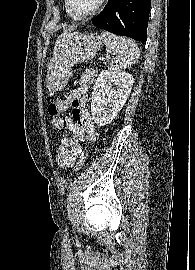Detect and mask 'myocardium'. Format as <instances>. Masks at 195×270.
<instances>
[{
    "label": "myocardium",
    "mask_w": 195,
    "mask_h": 270,
    "mask_svg": "<svg viewBox=\"0 0 195 270\" xmlns=\"http://www.w3.org/2000/svg\"><path fill=\"white\" fill-rule=\"evenodd\" d=\"M105 2H106V0H99L97 5L90 12L85 13V14H76L71 8L70 0H65V6H66L68 13L73 18H75L77 20H83V19L90 18V17L94 16L95 14H97L102 9Z\"/></svg>",
    "instance_id": "1"
}]
</instances>
